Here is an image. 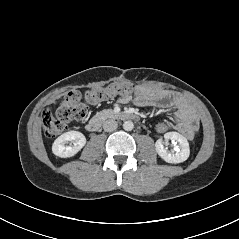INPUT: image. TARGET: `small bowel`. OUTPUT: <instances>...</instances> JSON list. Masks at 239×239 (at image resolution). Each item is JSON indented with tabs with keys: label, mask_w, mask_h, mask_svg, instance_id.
<instances>
[{
	"label": "small bowel",
	"mask_w": 239,
	"mask_h": 239,
	"mask_svg": "<svg viewBox=\"0 0 239 239\" xmlns=\"http://www.w3.org/2000/svg\"><path fill=\"white\" fill-rule=\"evenodd\" d=\"M128 96H121L119 101L128 102ZM134 103L139 107L166 108L173 111L174 130L187 139H191L199 129V118L187 102L168 90L155 87H139Z\"/></svg>",
	"instance_id": "obj_1"
}]
</instances>
